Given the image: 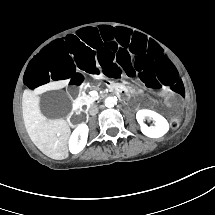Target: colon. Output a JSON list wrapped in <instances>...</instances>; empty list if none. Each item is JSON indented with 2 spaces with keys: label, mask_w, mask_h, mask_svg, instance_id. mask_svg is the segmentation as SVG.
Returning <instances> with one entry per match:
<instances>
[{
  "label": "colon",
  "mask_w": 215,
  "mask_h": 215,
  "mask_svg": "<svg viewBox=\"0 0 215 215\" xmlns=\"http://www.w3.org/2000/svg\"><path fill=\"white\" fill-rule=\"evenodd\" d=\"M170 125H171V127H172L173 129L178 128V127L180 126V121H179V119L173 118V119L171 120Z\"/></svg>",
  "instance_id": "1"
}]
</instances>
